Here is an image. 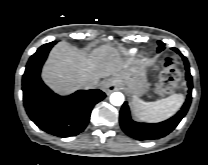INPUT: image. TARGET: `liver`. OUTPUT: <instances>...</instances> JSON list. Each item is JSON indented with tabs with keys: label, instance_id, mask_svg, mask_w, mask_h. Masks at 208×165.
I'll list each match as a JSON object with an SVG mask.
<instances>
[{
	"label": "liver",
	"instance_id": "obj_1",
	"mask_svg": "<svg viewBox=\"0 0 208 165\" xmlns=\"http://www.w3.org/2000/svg\"><path fill=\"white\" fill-rule=\"evenodd\" d=\"M117 51L110 44L91 53L79 50L68 43L60 42L51 51L42 72L44 82L58 93L68 94L85 84L121 71Z\"/></svg>",
	"mask_w": 208,
	"mask_h": 165
}]
</instances>
